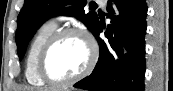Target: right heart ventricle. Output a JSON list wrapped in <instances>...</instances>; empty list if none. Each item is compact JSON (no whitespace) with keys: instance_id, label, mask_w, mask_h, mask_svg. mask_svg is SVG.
<instances>
[{"instance_id":"1","label":"right heart ventricle","mask_w":173,"mask_h":91,"mask_svg":"<svg viewBox=\"0 0 173 91\" xmlns=\"http://www.w3.org/2000/svg\"><path fill=\"white\" fill-rule=\"evenodd\" d=\"M58 25L54 20H48L41 24L34 35L25 61V77L33 86H43L45 83L39 78L36 71V60L38 53L46 39L56 31Z\"/></svg>"}]
</instances>
